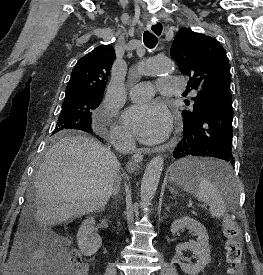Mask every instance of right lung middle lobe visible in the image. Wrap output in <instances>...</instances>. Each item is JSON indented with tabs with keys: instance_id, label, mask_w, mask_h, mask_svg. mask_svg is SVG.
<instances>
[{
	"instance_id": "right-lung-middle-lobe-1",
	"label": "right lung middle lobe",
	"mask_w": 263,
	"mask_h": 275,
	"mask_svg": "<svg viewBox=\"0 0 263 275\" xmlns=\"http://www.w3.org/2000/svg\"><path fill=\"white\" fill-rule=\"evenodd\" d=\"M102 100L101 96L79 95L65 98L62 105L58 123L52 135L54 140L63 137L69 129L92 132L91 114Z\"/></svg>"
}]
</instances>
